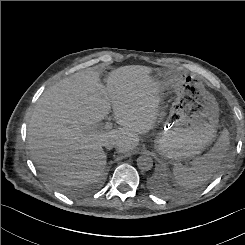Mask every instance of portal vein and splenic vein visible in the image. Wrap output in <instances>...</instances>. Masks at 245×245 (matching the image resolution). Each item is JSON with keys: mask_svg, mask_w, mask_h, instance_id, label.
<instances>
[{"mask_svg": "<svg viewBox=\"0 0 245 245\" xmlns=\"http://www.w3.org/2000/svg\"><path fill=\"white\" fill-rule=\"evenodd\" d=\"M112 126H113V124L111 122H106L104 129L109 130L112 128ZM91 130H99V129L96 127V128L91 129Z\"/></svg>", "mask_w": 245, "mask_h": 245, "instance_id": "portal-vein-and-splenic-vein-1", "label": "portal vein and splenic vein"}]
</instances>
